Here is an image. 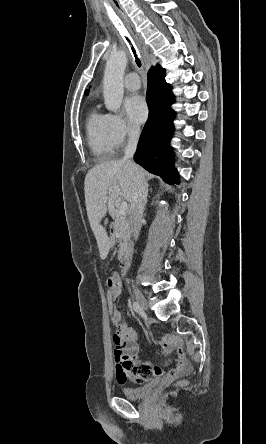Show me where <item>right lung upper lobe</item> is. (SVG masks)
I'll list each match as a JSON object with an SVG mask.
<instances>
[{"mask_svg":"<svg viewBox=\"0 0 266 444\" xmlns=\"http://www.w3.org/2000/svg\"><path fill=\"white\" fill-rule=\"evenodd\" d=\"M88 93H89V90H86V91H85V95H88Z\"/></svg>","mask_w":266,"mask_h":444,"instance_id":"1","label":"right lung upper lobe"}]
</instances>
